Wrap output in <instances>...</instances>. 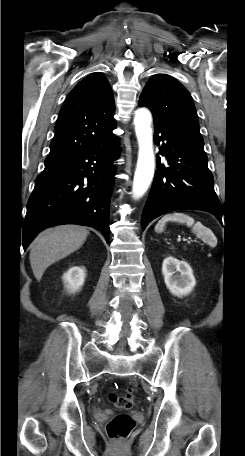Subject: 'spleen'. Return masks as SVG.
I'll list each match as a JSON object with an SVG mask.
<instances>
[{"label": "spleen", "mask_w": 245, "mask_h": 456, "mask_svg": "<svg viewBox=\"0 0 245 456\" xmlns=\"http://www.w3.org/2000/svg\"><path fill=\"white\" fill-rule=\"evenodd\" d=\"M168 221L185 223L188 227H192V232L204 242L208 243L210 246H216L217 239L213 232L205 227L201 222H195V220L187 214L184 213H171L164 215L156 224L155 231L157 233H162L164 231L165 224Z\"/></svg>", "instance_id": "spleen-1"}]
</instances>
